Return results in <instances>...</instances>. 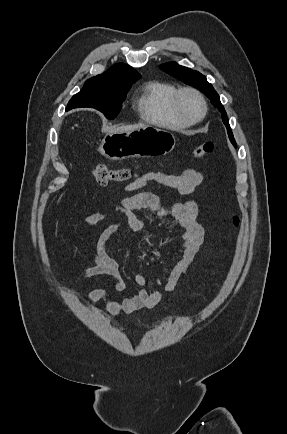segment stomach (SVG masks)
Returning <instances> with one entry per match:
<instances>
[{
	"label": "stomach",
	"mask_w": 287,
	"mask_h": 434,
	"mask_svg": "<svg viewBox=\"0 0 287 434\" xmlns=\"http://www.w3.org/2000/svg\"><path fill=\"white\" fill-rule=\"evenodd\" d=\"M175 137L169 131L145 126L131 132H109L102 140L99 152L110 160L149 158L166 155L175 147Z\"/></svg>",
	"instance_id": "1"
}]
</instances>
